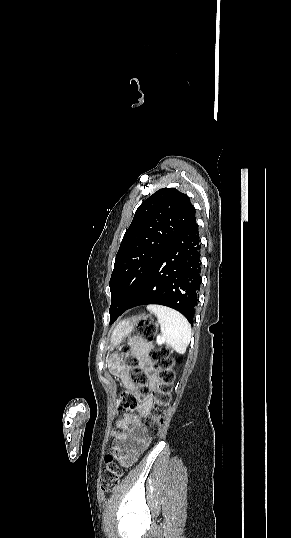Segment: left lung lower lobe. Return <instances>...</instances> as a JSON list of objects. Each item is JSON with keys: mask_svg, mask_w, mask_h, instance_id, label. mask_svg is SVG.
I'll return each mask as SVG.
<instances>
[{"mask_svg": "<svg viewBox=\"0 0 291 538\" xmlns=\"http://www.w3.org/2000/svg\"><path fill=\"white\" fill-rule=\"evenodd\" d=\"M200 249L194 218L159 256L135 298L110 314V324L126 310L148 304L171 307L193 324L201 284Z\"/></svg>", "mask_w": 291, "mask_h": 538, "instance_id": "1", "label": "left lung lower lobe"}]
</instances>
